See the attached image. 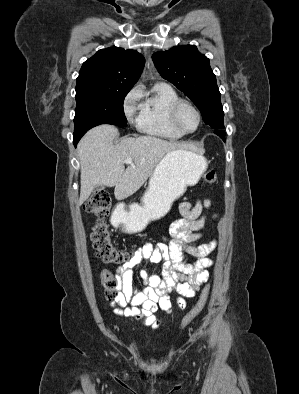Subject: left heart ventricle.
I'll return each instance as SVG.
<instances>
[{
  "label": "left heart ventricle",
  "mask_w": 299,
  "mask_h": 394,
  "mask_svg": "<svg viewBox=\"0 0 299 394\" xmlns=\"http://www.w3.org/2000/svg\"><path fill=\"white\" fill-rule=\"evenodd\" d=\"M179 123L187 131H192L198 124L196 113L188 106H183L179 113Z\"/></svg>",
  "instance_id": "left-heart-ventricle-1"
}]
</instances>
